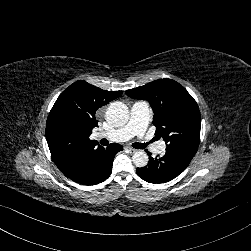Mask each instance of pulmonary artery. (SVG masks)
<instances>
[{"mask_svg": "<svg viewBox=\"0 0 251 251\" xmlns=\"http://www.w3.org/2000/svg\"><path fill=\"white\" fill-rule=\"evenodd\" d=\"M150 115V109L145 102H136L130 110V118L126 125L108 133V139L114 142H126L136 136L141 142L147 141L145 129ZM145 149L151 153L165 154L166 148L162 142H148Z\"/></svg>", "mask_w": 251, "mask_h": 251, "instance_id": "e3ab8cb5", "label": "pulmonary artery"}]
</instances>
